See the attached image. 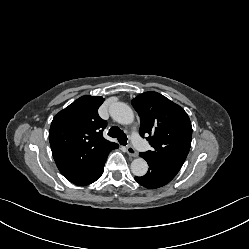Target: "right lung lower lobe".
I'll list each match as a JSON object with an SVG mask.
<instances>
[{
  "label": "right lung lower lobe",
  "mask_w": 249,
  "mask_h": 249,
  "mask_svg": "<svg viewBox=\"0 0 249 249\" xmlns=\"http://www.w3.org/2000/svg\"><path fill=\"white\" fill-rule=\"evenodd\" d=\"M118 148V147H117ZM116 149V148H115ZM109 154V153H108ZM108 154L104 157L102 163L100 164L99 166V169L97 170L96 174L94 175V177L92 178V180L88 183V184H91L93 183L94 181H96L103 173V170H104V164H105V161L107 159V156Z\"/></svg>",
  "instance_id": "obj_1"
}]
</instances>
